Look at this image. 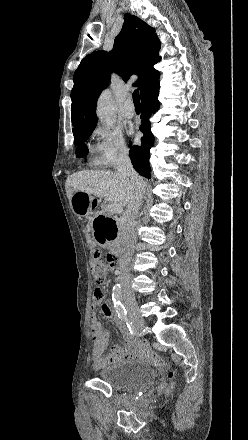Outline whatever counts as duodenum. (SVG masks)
Masks as SVG:
<instances>
[{"label": "duodenum", "mask_w": 248, "mask_h": 440, "mask_svg": "<svg viewBox=\"0 0 248 440\" xmlns=\"http://www.w3.org/2000/svg\"><path fill=\"white\" fill-rule=\"evenodd\" d=\"M111 252L115 256H119L120 255V246H119L118 242L115 243V246H111Z\"/></svg>", "instance_id": "duodenum-1"}]
</instances>
